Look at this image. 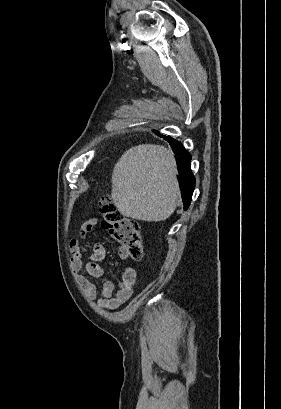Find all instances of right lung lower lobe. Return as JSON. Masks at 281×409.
<instances>
[{
	"instance_id": "right-lung-lower-lobe-1",
	"label": "right lung lower lobe",
	"mask_w": 281,
	"mask_h": 409,
	"mask_svg": "<svg viewBox=\"0 0 281 409\" xmlns=\"http://www.w3.org/2000/svg\"><path fill=\"white\" fill-rule=\"evenodd\" d=\"M164 138L170 143L174 153L178 156L177 167L182 183L180 188L184 209L186 210L191 202L193 190L195 187V178L190 169L191 155L183 148V146L178 141L173 140L170 137Z\"/></svg>"
}]
</instances>
